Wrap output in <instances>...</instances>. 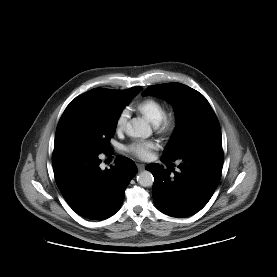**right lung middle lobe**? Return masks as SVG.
Wrapping results in <instances>:
<instances>
[{"instance_id": "obj_1", "label": "right lung middle lobe", "mask_w": 277, "mask_h": 277, "mask_svg": "<svg viewBox=\"0 0 277 277\" xmlns=\"http://www.w3.org/2000/svg\"><path fill=\"white\" fill-rule=\"evenodd\" d=\"M142 89H93L78 97L65 109L57 126L55 146L85 151L109 152L118 118L123 108Z\"/></svg>"}]
</instances>
